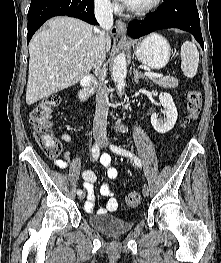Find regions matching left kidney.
Returning <instances> with one entry per match:
<instances>
[{
    "mask_svg": "<svg viewBox=\"0 0 221 263\" xmlns=\"http://www.w3.org/2000/svg\"><path fill=\"white\" fill-rule=\"evenodd\" d=\"M159 100L161 105L164 108V115H166V119L158 118L156 113L151 115V124L153 128L158 133H166L173 129L174 125L176 124L178 113L173 98L168 93H161L159 95Z\"/></svg>",
    "mask_w": 221,
    "mask_h": 263,
    "instance_id": "obj_1",
    "label": "left kidney"
}]
</instances>
